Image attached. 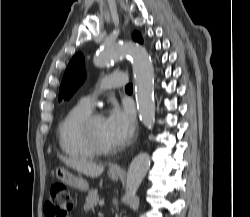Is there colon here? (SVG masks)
Returning <instances> with one entry per match:
<instances>
[{
	"label": "colon",
	"instance_id": "5ec220e1",
	"mask_svg": "<svg viewBox=\"0 0 250 217\" xmlns=\"http://www.w3.org/2000/svg\"><path fill=\"white\" fill-rule=\"evenodd\" d=\"M72 198L66 185L54 184L45 203L47 217H69L72 210Z\"/></svg>",
	"mask_w": 250,
	"mask_h": 217
}]
</instances>
